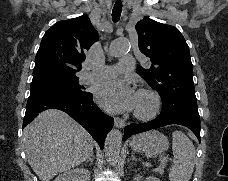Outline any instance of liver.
<instances>
[{"mask_svg":"<svg viewBox=\"0 0 228 181\" xmlns=\"http://www.w3.org/2000/svg\"><path fill=\"white\" fill-rule=\"evenodd\" d=\"M27 161L39 181H51L93 155L89 133L63 111L48 109L24 129Z\"/></svg>","mask_w":228,"mask_h":181,"instance_id":"6515ba94","label":"liver"}]
</instances>
